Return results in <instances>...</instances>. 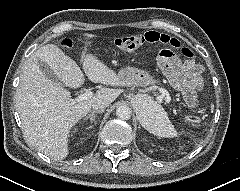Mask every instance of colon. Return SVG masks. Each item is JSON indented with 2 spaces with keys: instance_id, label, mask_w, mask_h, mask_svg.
<instances>
[{
  "instance_id": "5ec220e1",
  "label": "colon",
  "mask_w": 240,
  "mask_h": 191,
  "mask_svg": "<svg viewBox=\"0 0 240 191\" xmlns=\"http://www.w3.org/2000/svg\"><path fill=\"white\" fill-rule=\"evenodd\" d=\"M61 45L71 47L72 42L69 39H64ZM143 45H160L164 47L159 53L161 64L170 60L173 56V51L177 49L180 50V53L185 58H193L191 50L182 47L177 39L155 31H150L145 34L123 36L115 40L116 48L122 51H134ZM196 106L197 104L192 107V110L186 116L187 121L193 125H198L203 121V112L200 108H196Z\"/></svg>"
}]
</instances>
